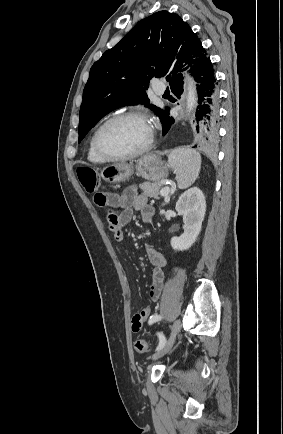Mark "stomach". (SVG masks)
I'll use <instances>...</instances> for the list:
<instances>
[{"instance_id": "1", "label": "stomach", "mask_w": 283, "mask_h": 434, "mask_svg": "<svg viewBox=\"0 0 283 434\" xmlns=\"http://www.w3.org/2000/svg\"><path fill=\"white\" fill-rule=\"evenodd\" d=\"M136 170L138 176L152 182H159L168 176L169 166L156 153L145 155L135 163H116L104 167L101 171L103 180L120 183L127 180Z\"/></svg>"}]
</instances>
